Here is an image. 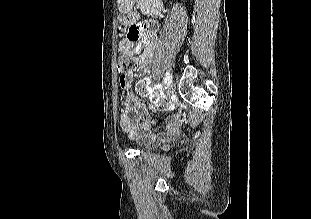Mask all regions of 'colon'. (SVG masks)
<instances>
[{
  "label": "colon",
  "instance_id": "colon-1",
  "mask_svg": "<svg viewBox=\"0 0 311 219\" xmlns=\"http://www.w3.org/2000/svg\"><path fill=\"white\" fill-rule=\"evenodd\" d=\"M137 33V29L133 28L129 31L127 38L131 41L134 40V36ZM133 60L130 56L121 55L117 59V69L119 73V84L121 88H125L127 85V74L132 71ZM138 91L142 95H146L148 92V86L145 83L139 85Z\"/></svg>",
  "mask_w": 311,
  "mask_h": 219
}]
</instances>
